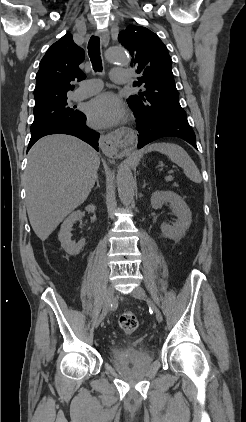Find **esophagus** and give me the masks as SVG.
<instances>
[{"label":"esophagus","instance_id":"esophagus-1","mask_svg":"<svg viewBox=\"0 0 246 422\" xmlns=\"http://www.w3.org/2000/svg\"><path fill=\"white\" fill-rule=\"evenodd\" d=\"M96 35L100 37L101 43L104 47H107L109 44V33L107 31H97ZM121 146V141L113 134L101 135L100 137V147L106 155L112 156L118 153L119 147Z\"/></svg>","mask_w":246,"mask_h":422}]
</instances>
